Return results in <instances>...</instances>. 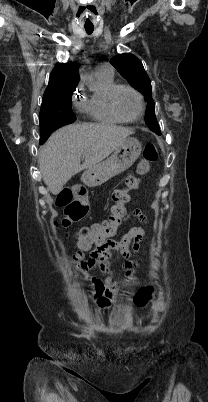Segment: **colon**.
<instances>
[{
    "instance_id": "obj_1",
    "label": "colon",
    "mask_w": 208,
    "mask_h": 402,
    "mask_svg": "<svg viewBox=\"0 0 208 402\" xmlns=\"http://www.w3.org/2000/svg\"><path fill=\"white\" fill-rule=\"evenodd\" d=\"M157 158V146L152 142L146 143L143 149V161L138 165L137 174L126 177L125 185L118 187L111 192V214L108 216V218L100 222H96L90 226L81 228L76 232H71L69 230L70 226L74 222H82L84 220L83 214H89L91 208L89 205H67L64 210V216L57 224L63 227V236L68 240L73 237L74 242L81 249L76 248L74 250L76 257L74 258L73 254H69V259L72 260L74 258L75 262H80L85 258V255L81 252L92 249L94 244H102L108 235H115L117 233L118 229L122 226L126 219L127 210L125 205L129 201L130 193L137 190L142 176L149 171L150 166L156 162ZM72 194L85 195V186L83 184L75 185L74 192ZM150 292L151 287H143L136 297V305L139 307L143 306L149 298ZM97 302L101 307L111 305V300L108 297H100Z\"/></svg>"
}]
</instances>
